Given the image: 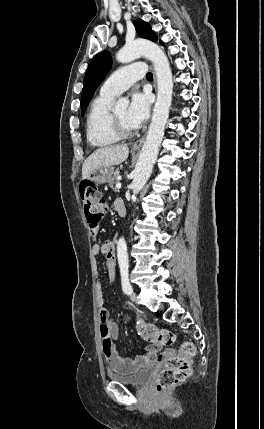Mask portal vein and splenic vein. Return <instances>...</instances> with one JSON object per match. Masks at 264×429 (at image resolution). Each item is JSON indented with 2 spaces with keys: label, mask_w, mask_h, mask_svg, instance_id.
<instances>
[{
  "label": "portal vein and splenic vein",
  "mask_w": 264,
  "mask_h": 429,
  "mask_svg": "<svg viewBox=\"0 0 264 429\" xmlns=\"http://www.w3.org/2000/svg\"><path fill=\"white\" fill-rule=\"evenodd\" d=\"M116 188H121V183L120 182H118L117 184H116Z\"/></svg>",
  "instance_id": "obj_1"
}]
</instances>
